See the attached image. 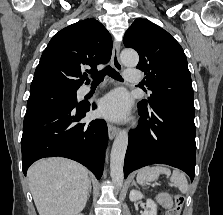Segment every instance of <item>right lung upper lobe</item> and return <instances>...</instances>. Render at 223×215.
Returning a JSON list of instances; mask_svg holds the SVG:
<instances>
[{
	"label": "right lung upper lobe",
	"mask_w": 223,
	"mask_h": 215,
	"mask_svg": "<svg viewBox=\"0 0 223 215\" xmlns=\"http://www.w3.org/2000/svg\"><path fill=\"white\" fill-rule=\"evenodd\" d=\"M112 39L97 20L85 19L59 31L48 43L35 70L30 93L77 91L96 65L110 60ZM84 75L86 73H83ZM80 77V79H77Z\"/></svg>",
	"instance_id": "right-lung-upper-lobe-1"
}]
</instances>
